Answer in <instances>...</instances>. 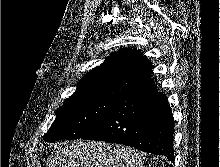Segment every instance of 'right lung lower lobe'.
Segmentation results:
<instances>
[{
	"mask_svg": "<svg viewBox=\"0 0 220 167\" xmlns=\"http://www.w3.org/2000/svg\"><path fill=\"white\" fill-rule=\"evenodd\" d=\"M174 121L167 97L152 83L116 97L84 140L118 143L174 161Z\"/></svg>",
	"mask_w": 220,
	"mask_h": 167,
	"instance_id": "98d812e1",
	"label": "right lung lower lobe"
}]
</instances>
